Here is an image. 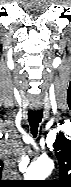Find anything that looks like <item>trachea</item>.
Masks as SVG:
<instances>
[{
	"label": "trachea",
	"mask_w": 71,
	"mask_h": 187,
	"mask_svg": "<svg viewBox=\"0 0 71 187\" xmlns=\"http://www.w3.org/2000/svg\"><path fill=\"white\" fill-rule=\"evenodd\" d=\"M43 118V112L42 110H30L28 112V119H29V124L31 126V133L34 137H36L38 133V127L39 123L41 122Z\"/></svg>",
	"instance_id": "1"
}]
</instances>
